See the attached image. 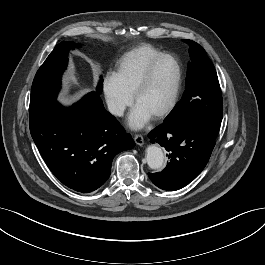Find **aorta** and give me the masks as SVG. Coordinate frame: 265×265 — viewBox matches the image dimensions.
Listing matches in <instances>:
<instances>
[{
    "mask_svg": "<svg viewBox=\"0 0 265 265\" xmlns=\"http://www.w3.org/2000/svg\"><path fill=\"white\" fill-rule=\"evenodd\" d=\"M147 164L151 169H161L164 164V154L156 145L148 146L146 149Z\"/></svg>",
    "mask_w": 265,
    "mask_h": 265,
    "instance_id": "aorta-1",
    "label": "aorta"
}]
</instances>
